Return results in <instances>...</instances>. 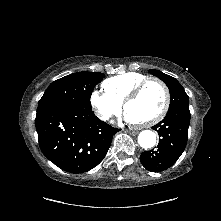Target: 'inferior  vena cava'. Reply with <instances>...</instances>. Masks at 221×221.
Returning a JSON list of instances; mask_svg holds the SVG:
<instances>
[{
	"label": "inferior vena cava",
	"instance_id": "inferior-vena-cava-1",
	"mask_svg": "<svg viewBox=\"0 0 221 221\" xmlns=\"http://www.w3.org/2000/svg\"><path fill=\"white\" fill-rule=\"evenodd\" d=\"M109 115L108 114H106V113H101L100 114V118L102 119V120H108L109 119Z\"/></svg>",
	"mask_w": 221,
	"mask_h": 221
}]
</instances>
